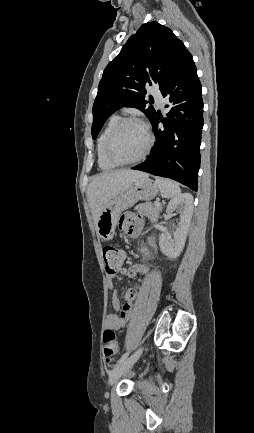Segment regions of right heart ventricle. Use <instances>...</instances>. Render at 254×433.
I'll use <instances>...</instances> for the list:
<instances>
[{
    "label": "right heart ventricle",
    "instance_id": "right-heart-ventricle-1",
    "mask_svg": "<svg viewBox=\"0 0 254 433\" xmlns=\"http://www.w3.org/2000/svg\"><path fill=\"white\" fill-rule=\"evenodd\" d=\"M120 120L121 118L119 116L117 115L112 116L107 122L105 128L103 129L97 141V162L100 169L104 171H109L116 167L105 158L104 145L109 133Z\"/></svg>",
    "mask_w": 254,
    "mask_h": 433
}]
</instances>
